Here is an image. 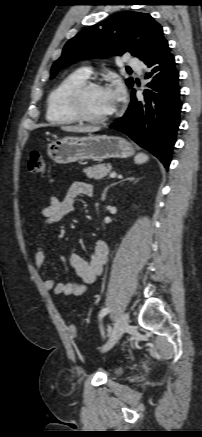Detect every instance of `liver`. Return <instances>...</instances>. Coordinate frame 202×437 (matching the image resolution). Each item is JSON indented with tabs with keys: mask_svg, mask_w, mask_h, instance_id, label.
Wrapping results in <instances>:
<instances>
[{
	"mask_svg": "<svg viewBox=\"0 0 202 437\" xmlns=\"http://www.w3.org/2000/svg\"><path fill=\"white\" fill-rule=\"evenodd\" d=\"M61 129L66 132L88 133L98 131L99 128L91 126H62Z\"/></svg>",
	"mask_w": 202,
	"mask_h": 437,
	"instance_id": "liver-1",
	"label": "liver"
}]
</instances>
